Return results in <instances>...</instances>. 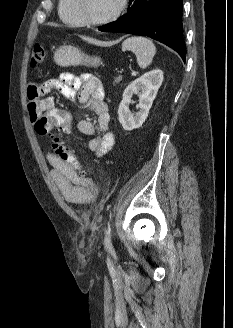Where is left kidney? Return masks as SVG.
I'll return each instance as SVG.
<instances>
[{"instance_id": "1", "label": "left kidney", "mask_w": 233, "mask_h": 328, "mask_svg": "<svg viewBox=\"0 0 233 328\" xmlns=\"http://www.w3.org/2000/svg\"><path fill=\"white\" fill-rule=\"evenodd\" d=\"M162 81V70L154 69L137 78L127 86L118 109V119L124 130L131 131L142 126ZM133 94H139V111L135 115L129 111Z\"/></svg>"}]
</instances>
